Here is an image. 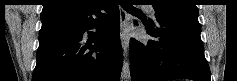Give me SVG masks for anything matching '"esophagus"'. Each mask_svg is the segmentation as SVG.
Wrapping results in <instances>:
<instances>
[{
	"label": "esophagus",
	"mask_w": 237,
	"mask_h": 81,
	"mask_svg": "<svg viewBox=\"0 0 237 81\" xmlns=\"http://www.w3.org/2000/svg\"><path fill=\"white\" fill-rule=\"evenodd\" d=\"M127 22H128V14L123 8H120V30H121L120 38H121L123 50L125 52H127L129 42H130V36H129L128 32L125 31Z\"/></svg>",
	"instance_id": "obj_1"
}]
</instances>
